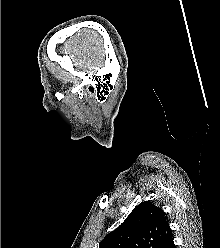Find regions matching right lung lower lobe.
<instances>
[{
    "label": "right lung lower lobe",
    "mask_w": 220,
    "mask_h": 248,
    "mask_svg": "<svg viewBox=\"0 0 220 248\" xmlns=\"http://www.w3.org/2000/svg\"><path fill=\"white\" fill-rule=\"evenodd\" d=\"M162 248H175L173 238L171 237Z\"/></svg>",
    "instance_id": "98d812e1"
}]
</instances>
